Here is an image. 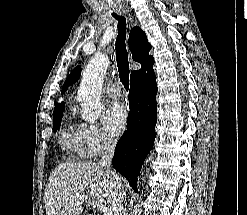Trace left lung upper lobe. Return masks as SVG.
Here are the masks:
<instances>
[{
    "instance_id": "1",
    "label": "left lung upper lobe",
    "mask_w": 247,
    "mask_h": 215,
    "mask_svg": "<svg viewBox=\"0 0 247 215\" xmlns=\"http://www.w3.org/2000/svg\"><path fill=\"white\" fill-rule=\"evenodd\" d=\"M80 75H81V67L77 66L76 68L73 69V71L70 73V75L66 79L61 93L63 94L70 85H73L78 80Z\"/></svg>"
}]
</instances>
